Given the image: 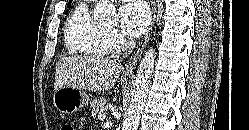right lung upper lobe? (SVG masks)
Here are the masks:
<instances>
[{
	"label": "right lung upper lobe",
	"mask_w": 249,
	"mask_h": 130,
	"mask_svg": "<svg viewBox=\"0 0 249 130\" xmlns=\"http://www.w3.org/2000/svg\"><path fill=\"white\" fill-rule=\"evenodd\" d=\"M71 2H72V1L70 0V1H69V5L71 4Z\"/></svg>",
	"instance_id": "right-lung-upper-lobe-1"
}]
</instances>
